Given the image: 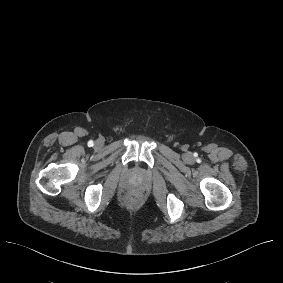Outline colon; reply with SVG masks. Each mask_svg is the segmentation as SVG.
I'll return each mask as SVG.
<instances>
[{
  "label": "colon",
  "mask_w": 283,
  "mask_h": 283,
  "mask_svg": "<svg viewBox=\"0 0 283 283\" xmlns=\"http://www.w3.org/2000/svg\"><path fill=\"white\" fill-rule=\"evenodd\" d=\"M125 200L130 204H135L138 201V197L136 195H129L125 198Z\"/></svg>",
  "instance_id": "5ec220e1"
}]
</instances>
